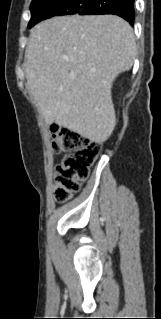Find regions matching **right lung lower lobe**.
I'll list each match as a JSON object with an SVG mask.
<instances>
[{"mask_svg":"<svg viewBox=\"0 0 161 319\" xmlns=\"http://www.w3.org/2000/svg\"><path fill=\"white\" fill-rule=\"evenodd\" d=\"M77 15H118L134 23V0H90V2Z\"/></svg>","mask_w":161,"mask_h":319,"instance_id":"98d812e1","label":"right lung lower lobe"}]
</instances>
